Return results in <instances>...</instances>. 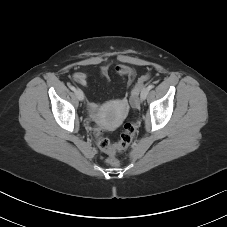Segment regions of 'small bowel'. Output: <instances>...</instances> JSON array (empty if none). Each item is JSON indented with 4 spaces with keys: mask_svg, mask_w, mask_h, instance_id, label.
Masks as SVG:
<instances>
[{
    "mask_svg": "<svg viewBox=\"0 0 227 227\" xmlns=\"http://www.w3.org/2000/svg\"><path fill=\"white\" fill-rule=\"evenodd\" d=\"M115 71L116 73L121 76L122 78L125 79L126 84L128 86L132 85V83L135 80V76H136V72L133 68H131L130 66L126 65V64H119L115 67ZM100 74L101 76L108 80L109 79V67L108 66H102L100 69ZM73 81L80 84V85H87L88 79L86 74L82 73V72H76L73 74ZM90 107L92 109L95 108V104L94 103H90Z\"/></svg>",
    "mask_w": 227,
    "mask_h": 227,
    "instance_id": "1",
    "label": "small bowel"
}]
</instances>
